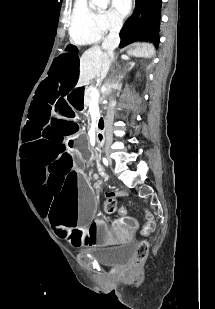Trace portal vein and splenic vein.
<instances>
[{"label":"portal vein and splenic vein","mask_w":215,"mask_h":309,"mask_svg":"<svg viewBox=\"0 0 215 309\" xmlns=\"http://www.w3.org/2000/svg\"><path fill=\"white\" fill-rule=\"evenodd\" d=\"M91 96H100L97 88H93L92 92H91Z\"/></svg>","instance_id":"portal-vein-and-splenic-vein-1"}]
</instances>
